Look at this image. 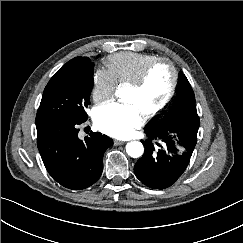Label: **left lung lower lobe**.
<instances>
[{"label":"left lung lower lobe","mask_w":243,"mask_h":243,"mask_svg":"<svg viewBox=\"0 0 243 243\" xmlns=\"http://www.w3.org/2000/svg\"><path fill=\"white\" fill-rule=\"evenodd\" d=\"M196 127L175 123L163 130L145 129V152L135 166L136 177L153 189L174 184L188 166L197 142ZM153 141H156L154 146Z\"/></svg>","instance_id":"left-lung-lower-lobe-1"}]
</instances>
